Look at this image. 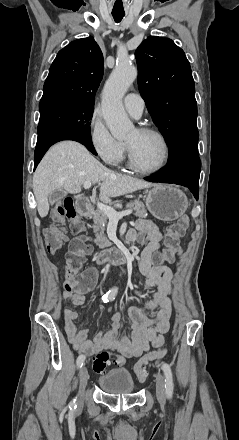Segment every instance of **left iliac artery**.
I'll use <instances>...</instances> for the list:
<instances>
[{"instance_id": "left-iliac-artery-1", "label": "left iliac artery", "mask_w": 239, "mask_h": 440, "mask_svg": "<svg viewBox=\"0 0 239 440\" xmlns=\"http://www.w3.org/2000/svg\"><path fill=\"white\" fill-rule=\"evenodd\" d=\"M162 369L165 375V391L168 398L172 397L173 394V377L170 365L163 363Z\"/></svg>"}]
</instances>
